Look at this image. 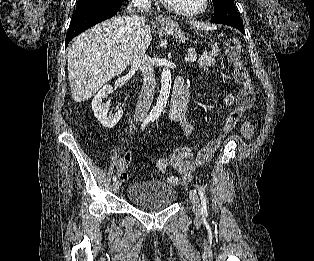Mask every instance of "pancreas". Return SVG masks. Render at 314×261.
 <instances>
[{
  "label": "pancreas",
  "mask_w": 314,
  "mask_h": 261,
  "mask_svg": "<svg viewBox=\"0 0 314 261\" xmlns=\"http://www.w3.org/2000/svg\"><path fill=\"white\" fill-rule=\"evenodd\" d=\"M219 48L217 45H215L212 49L211 52L207 53H203L197 63L199 65V67L202 69V70H207L209 67H211L212 65H214L215 63V58L217 57L218 55V52H219ZM195 54V50L194 49H189L188 50V56H191Z\"/></svg>",
  "instance_id": "1"
}]
</instances>
